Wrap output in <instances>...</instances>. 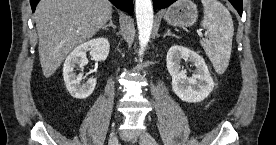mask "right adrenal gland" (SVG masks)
Wrapping results in <instances>:
<instances>
[{"mask_svg": "<svg viewBox=\"0 0 276 145\" xmlns=\"http://www.w3.org/2000/svg\"><path fill=\"white\" fill-rule=\"evenodd\" d=\"M108 27H112L114 30L116 29V26L113 24L112 17L109 19V24L102 27V30L107 29Z\"/></svg>", "mask_w": 276, "mask_h": 145, "instance_id": "2a0ac1e0", "label": "right adrenal gland"}]
</instances>
